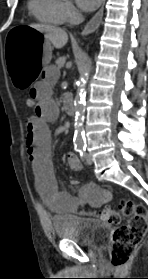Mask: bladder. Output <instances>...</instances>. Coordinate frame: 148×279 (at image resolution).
Wrapping results in <instances>:
<instances>
[{
  "instance_id": "1",
  "label": "bladder",
  "mask_w": 148,
  "mask_h": 279,
  "mask_svg": "<svg viewBox=\"0 0 148 279\" xmlns=\"http://www.w3.org/2000/svg\"><path fill=\"white\" fill-rule=\"evenodd\" d=\"M52 224L59 239L86 247L98 246L105 241L110 231L109 225L100 220L73 215L55 216Z\"/></svg>"
}]
</instances>
